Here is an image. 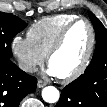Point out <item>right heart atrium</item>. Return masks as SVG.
Segmentation results:
<instances>
[{"label": "right heart atrium", "instance_id": "d8ad5b80", "mask_svg": "<svg viewBox=\"0 0 107 107\" xmlns=\"http://www.w3.org/2000/svg\"><path fill=\"white\" fill-rule=\"evenodd\" d=\"M11 49L22 70L34 72L45 60L43 55L28 37L15 36L11 42Z\"/></svg>", "mask_w": 107, "mask_h": 107}]
</instances>
